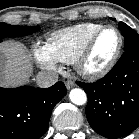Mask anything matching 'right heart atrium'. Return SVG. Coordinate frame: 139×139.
Here are the masks:
<instances>
[{"mask_svg":"<svg viewBox=\"0 0 139 139\" xmlns=\"http://www.w3.org/2000/svg\"><path fill=\"white\" fill-rule=\"evenodd\" d=\"M33 52L36 61L41 67L47 69H55L57 67V61L50 55L45 46L36 45Z\"/></svg>","mask_w":139,"mask_h":139,"instance_id":"1","label":"right heart atrium"}]
</instances>
